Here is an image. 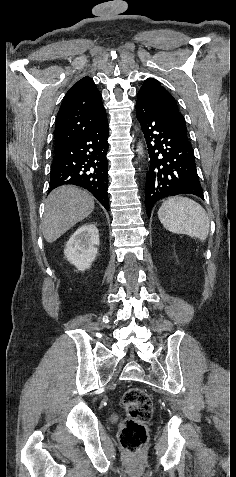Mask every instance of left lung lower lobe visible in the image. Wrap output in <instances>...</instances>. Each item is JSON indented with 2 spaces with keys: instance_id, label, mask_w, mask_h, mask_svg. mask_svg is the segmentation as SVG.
Returning <instances> with one entry per match:
<instances>
[{
  "instance_id": "obj_1",
  "label": "left lung lower lobe",
  "mask_w": 236,
  "mask_h": 477,
  "mask_svg": "<svg viewBox=\"0 0 236 477\" xmlns=\"http://www.w3.org/2000/svg\"><path fill=\"white\" fill-rule=\"evenodd\" d=\"M136 113L150 157L145 184L148 217L153 205L168 196L193 194L203 199L194 150L188 139L140 95Z\"/></svg>"
}]
</instances>
